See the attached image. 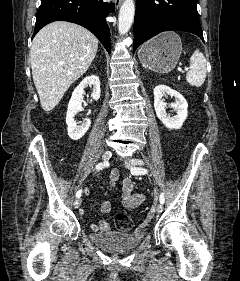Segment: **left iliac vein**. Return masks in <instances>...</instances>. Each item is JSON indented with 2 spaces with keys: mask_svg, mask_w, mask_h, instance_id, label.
<instances>
[{
  "mask_svg": "<svg viewBox=\"0 0 240 281\" xmlns=\"http://www.w3.org/2000/svg\"><path fill=\"white\" fill-rule=\"evenodd\" d=\"M127 161L131 164L135 163L134 160L132 159H127ZM142 164V162H139V165ZM156 210L158 213H162L163 211V205L161 203H158L157 206H156Z\"/></svg>",
  "mask_w": 240,
  "mask_h": 281,
  "instance_id": "4c4485c4",
  "label": "left iliac vein"
}]
</instances>
